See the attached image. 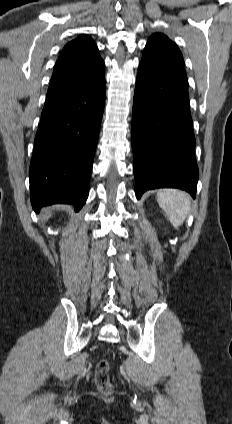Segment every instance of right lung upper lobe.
<instances>
[{
  "label": "right lung upper lobe",
  "instance_id": "cb5924a9",
  "mask_svg": "<svg viewBox=\"0 0 232 424\" xmlns=\"http://www.w3.org/2000/svg\"><path fill=\"white\" fill-rule=\"evenodd\" d=\"M104 61L91 37L82 34L63 48L55 66L47 95L104 78Z\"/></svg>",
  "mask_w": 232,
  "mask_h": 424
}]
</instances>
